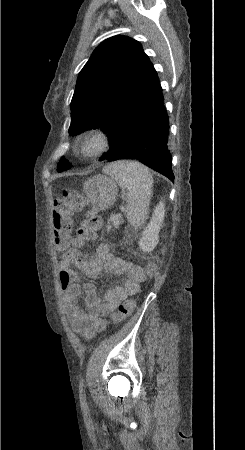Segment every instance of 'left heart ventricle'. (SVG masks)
<instances>
[{
  "label": "left heart ventricle",
  "instance_id": "1",
  "mask_svg": "<svg viewBox=\"0 0 245 450\" xmlns=\"http://www.w3.org/2000/svg\"><path fill=\"white\" fill-rule=\"evenodd\" d=\"M96 147H97V144L95 142H93L88 146V150L92 151V150L96 149Z\"/></svg>",
  "mask_w": 245,
  "mask_h": 450
}]
</instances>
